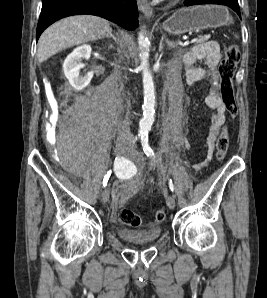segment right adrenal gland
Instances as JSON below:
<instances>
[{"instance_id": "right-adrenal-gland-1", "label": "right adrenal gland", "mask_w": 267, "mask_h": 298, "mask_svg": "<svg viewBox=\"0 0 267 298\" xmlns=\"http://www.w3.org/2000/svg\"><path fill=\"white\" fill-rule=\"evenodd\" d=\"M106 38H113L115 41H117L116 37L112 33L106 35Z\"/></svg>"}]
</instances>
